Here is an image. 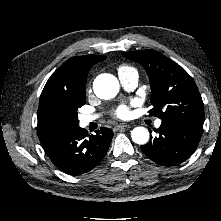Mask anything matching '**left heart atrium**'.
Returning a JSON list of instances; mask_svg holds the SVG:
<instances>
[{
    "label": "left heart atrium",
    "mask_w": 221,
    "mask_h": 221,
    "mask_svg": "<svg viewBox=\"0 0 221 221\" xmlns=\"http://www.w3.org/2000/svg\"><path fill=\"white\" fill-rule=\"evenodd\" d=\"M114 115L120 119L128 118L130 116L129 106L126 104H122V105L118 106L115 110Z\"/></svg>",
    "instance_id": "left-heart-atrium-1"
}]
</instances>
